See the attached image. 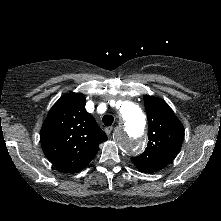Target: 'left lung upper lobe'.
<instances>
[{
  "label": "left lung upper lobe",
  "instance_id": "1",
  "mask_svg": "<svg viewBox=\"0 0 221 221\" xmlns=\"http://www.w3.org/2000/svg\"><path fill=\"white\" fill-rule=\"evenodd\" d=\"M148 116V145L131 161L146 173L158 171L171 163L184 139V128L168 104L157 97L144 95Z\"/></svg>",
  "mask_w": 221,
  "mask_h": 221
}]
</instances>
